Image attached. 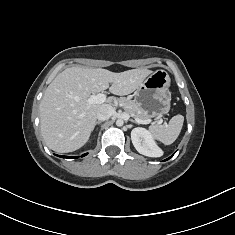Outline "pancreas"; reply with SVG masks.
Listing matches in <instances>:
<instances>
[{"label": "pancreas", "mask_w": 235, "mask_h": 235, "mask_svg": "<svg viewBox=\"0 0 235 235\" xmlns=\"http://www.w3.org/2000/svg\"><path fill=\"white\" fill-rule=\"evenodd\" d=\"M119 103L125 112L135 119L147 120L150 118V115L135 100L122 97L119 99Z\"/></svg>", "instance_id": "1"}]
</instances>
